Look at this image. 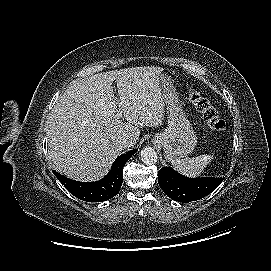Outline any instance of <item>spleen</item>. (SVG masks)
<instances>
[{
    "instance_id": "1",
    "label": "spleen",
    "mask_w": 271,
    "mask_h": 271,
    "mask_svg": "<svg viewBox=\"0 0 271 271\" xmlns=\"http://www.w3.org/2000/svg\"><path fill=\"white\" fill-rule=\"evenodd\" d=\"M211 155H200L194 158L176 159L172 161L173 167L187 177L201 175L205 167L212 161Z\"/></svg>"
}]
</instances>
